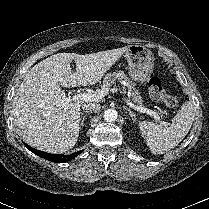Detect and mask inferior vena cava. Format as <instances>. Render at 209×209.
<instances>
[{"instance_id": "obj_1", "label": "inferior vena cava", "mask_w": 209, "mask_h": 209, "mask_svg": "<svg viewBox=\"0 0 209 209\" xmlns=\"http://www.w3.org/2000/svg\"><path fill=\"white\" fill-rule=\"evenodd\" d=\"M101 108L100 104L95 103H84L82 104V109L88 112H97Z\"/></svg>"}]
</instances>
